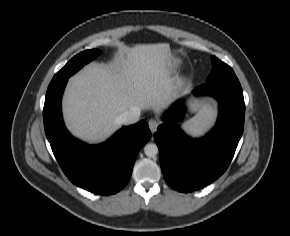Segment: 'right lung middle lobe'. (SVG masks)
I'll return each instance as SVG.
<instances>
[{
    "instance_id": "obj_1",
    "label": "right lung middle lobe",
    "mask_w": 290,
    "mask_h": 236,
    "mask_svg": "<svg viewBox=\"0 0 290 236\" xmlns=\"http://www.w3.org/2000/svg\"><path fill=\"white\" fill-rule=\"evenodd\" d=\"M100 54L99 50H87L74 56L54 77L53 79L68 78L82 68L86 63L93 60Z\"/></svg>"
}]
</instances>
